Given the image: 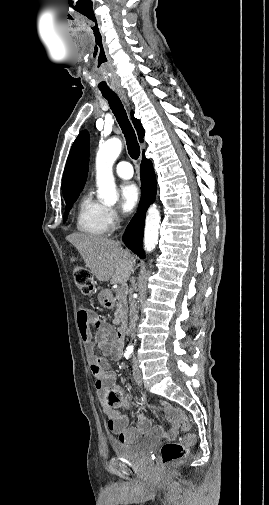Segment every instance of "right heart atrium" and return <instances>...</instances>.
<instances>
[{"instance_id":"d8ad5b80","label":"right heart atrium","mask_w":269,"mask_h":505,"mask_svg":"<svg viewBox=\"0 0 269 505\" xmlns=\"http://www.w3.org/2000/svg\"><path fill=\"white\" fill-rule=\"evenodd\" d=\"M105 216L109 229H113L118 225L120 216L116 209L112 207H106Z\"/></svg>"}]
</instances>
